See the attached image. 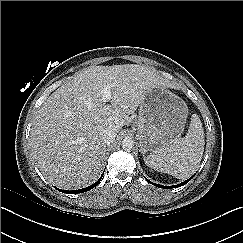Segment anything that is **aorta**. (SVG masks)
<instances>
[{"label":"aorta","instance_id":"1","mask_svg":"<svg viewBox=\"0 0 243 243\" xmlns=\"http://www.w3.org/2000/svg\"><path fill=\"white\" fill-rule=\"evenodd\" d=\"M121 145H122V148L124 150H127L128 151V150H131L134 147V141H133L132 138L126 137V138L123 139Z\"/></svg>","mask_w":243,"mask_h":243}]
</instances>
